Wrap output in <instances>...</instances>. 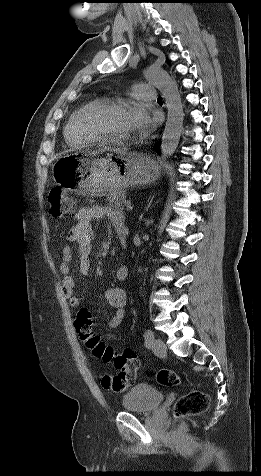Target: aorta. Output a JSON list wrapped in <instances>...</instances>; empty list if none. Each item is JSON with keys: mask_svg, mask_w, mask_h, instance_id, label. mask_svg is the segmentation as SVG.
I'll return each mask as SVG.
<instances>
[{"mask_svg": "<svg viewBox=\"0 0 261 476\" xmlns=\"http://www.w3.org/2000/svg\"><path fill=\"white\" fill-rule=\"evenodd\" d=\"M146 79L158 88L167 106V121L161 141L162 159L172 156L179 144L183 130V105L176 82L161 69L151 67L146 71Z\"/></svg>", "mask_w": 261, "mask_h": 476, "instance_id": "aorta-1", "label": "aorta"}]
</instances>
